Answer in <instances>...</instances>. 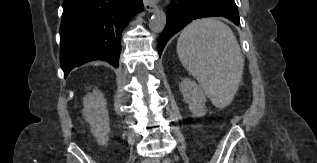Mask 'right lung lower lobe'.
<instances>
[{
	"label": "right lung lower lobe",
	"instance_id": "98d812e1",
	"mask_svg": "<svg viewBox=\"0 0 317 163\" xmlns=\"http://www.w3.org/2000/svg\"><path fill=\"white\" fill-rule=\"evenodd\" d=\"M142 0H64L60 26V66L69 72L86 62L119 65L121 34Z\"/></svg>",
	"mask_w": 317,
	"mask_h": 163
}]
</instances>
